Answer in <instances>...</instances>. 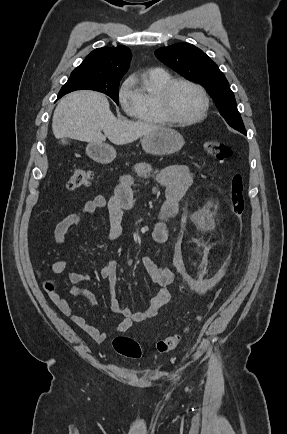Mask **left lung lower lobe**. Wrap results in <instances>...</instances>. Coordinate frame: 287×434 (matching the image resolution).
Listing matches in <instances>:
<instances>
[{"label": "left lung lower lobe", "instance_id": "left-lung-lower-lobe-1", "mask_svg": "<svg viewBox=\"0 0 287 434\" xmlns=\"http://www.w3.org/2000/svg\"><path fill=\"white\" fill-rule=\"evenodd\" d=\"M241 133L245 134V131H240Z\"/></svg>", "mask_w": 287, "mask_h": 434}]
</instances>
